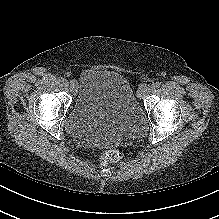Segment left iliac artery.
<instances>
[{"label": "left iliac artery", "mask_w": 219, "mask_h": 219, "mask_svg": "<svg viewBox=\"0 0 219 219\" xmlns=\"http://www.w3.org/2000/svg\"><path fill=\"white\" fill-rule=\"evenodd\" d=\"M161 86V83L159 82V81H157V82H155L154 84H153V88L155 89V88H159Z\"/></svg>", "instance_id": "1"}]
</instances>
